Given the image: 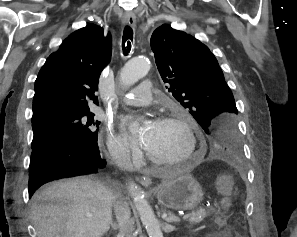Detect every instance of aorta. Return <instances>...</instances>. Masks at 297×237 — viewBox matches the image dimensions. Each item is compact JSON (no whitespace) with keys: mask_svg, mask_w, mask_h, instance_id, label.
<instances>
[{"mask_svg":"<svg viewBox=\"0 0 297 237\" xmlns=\"http://www.w3.org/2000/svg\"><path fill=\"white\" fill-rule=\"evenodd\" d=\"M150 69V62L147 58H133L129 60L121 69L119 74L120 82L125 87H130L142 79ZM137 126L135 124L130 126V131L135 133ZM129 192L133 198L136 209L140 215L142 223L146 227L149 237H163L160 228V223L155 217V214L145 198L142 189L134 182L128 184Z\"/></svg>","mask_w":297,"mask_h":237,"instance_id":"aorta-1","label":"aorta"}]
</instances>
